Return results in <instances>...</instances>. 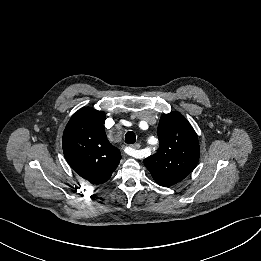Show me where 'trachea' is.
<instances>
[{"instance_id": "trachea-1", "label": "trachea", "mask_w": 261, "mask_h": 261, "mask_svg": "<svg viewBox=\"0 0 261 261\" xmlns=\"http://www.w3.org/2000/svg\"><path fill=\"white\" fill-rule=\"evenodd\" d=\"M136 141V135L133 131H128L125 135V143L133 144Z\"/></svg>"}]
</instances>
